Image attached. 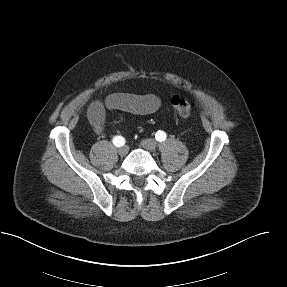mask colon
I'll list each match as a JSON object with an SVG mask.
<instances>
[{"mask_svg": "<svg viewBox=\"0 0 287 287\" xmlns=\"http://www.w3.org/2000/svg\"><path fill=\"white\" fill-rule=\"evenodd\" d=\"M171 106L175 113L181 117L190 116L194 108V104L191 101L179 95L171 98Z\"/></svg>", "mask_w": 287, "mask_h": 287, "instance_id": "5ec220e1", "label": "colon"}]
</instances>
